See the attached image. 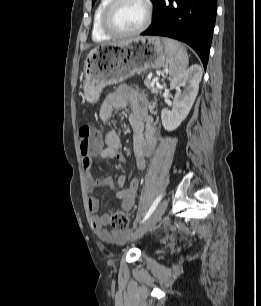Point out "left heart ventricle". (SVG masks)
Listing matches in <instances>:
<instances>
[{"mask_svg":"<svg viewBox=\"0 0 261 306\" xmlns=\"http://www.w3.org/2000/svg\"><path fill=\"white\" fill-rule=\"evenodd\" d=\"M145 18V7L140 0H123L112 13V23L122 31L136 29Z\"/></svg>","mask_w":261,"mask_h":306,"instance_id":"b2bd125f","label":"left heart ventricle"}]
</instances>
